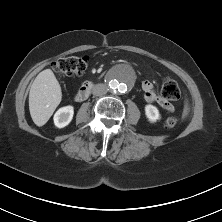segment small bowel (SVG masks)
Listing matches in <instances>:
<instances>
[{"label":"small bowel","instance_id":"c3829d8e","mask_svg":"<svg viewBox=\"0 0 222 222\" xmlns=\"http://www.w3.org/2000/svg\"><path fill=\"white\" fill-rule=\"evenodd\" d=\"M142 90L144 92V97L146 99L147 102L149 103H158L164 110L168 111V112H173L174 111V106L168 102L167 100H165L164 98L160 97L157 95L153 84L148 81L145 80L142 82ZM188 113V109L185 108L184 109V114Z\"/></svg>","mask_w":222,"mask_h":222}]
</instances>
